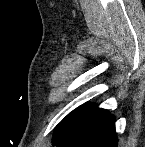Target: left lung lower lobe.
Returning a JSON list of instances; mask_svg holds the SVG:
<instances>
[{
	"label": "left lung lower lobe",
	"mask_w": 145,
	"mask_h": 147,
	"mask_svg": "<svg viewBox=\"0 0 145 147\" xmlns=\"http://www.w3.org/2000/svg\"><path fill=\"white\" fill-rule=\"evenodd\" d=\"M114 122L107 111L92 104L82 105L55 144L57 147H116Z\"/></svg>",
	"instance_id": "obj_1"
}]
</instances>
